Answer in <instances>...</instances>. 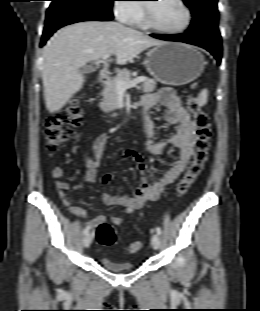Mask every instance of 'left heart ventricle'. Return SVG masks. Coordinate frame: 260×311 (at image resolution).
<instances>
[{"mask_svg": "<svg viewBox=\"0 0 260 311\" xmlns=\"http://www.w3.org/2000/svg\"><path fill=\"white\" fill-rule=\"evenodd\" d=\"M155 23L166 29H177L184 24L185 11L176 0H158L150 3Z\"/></svg>", "mask_w": 260, "mask_h": 311, "instance_id": "left-heart-ventricle-1", "label": "left heart ventricle"}]
</instances>
